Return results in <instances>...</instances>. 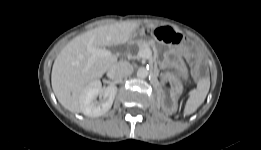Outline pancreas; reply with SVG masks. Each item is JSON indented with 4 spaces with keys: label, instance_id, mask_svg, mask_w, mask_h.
Returning a JSON list of instances; mask_svg holds the SVG:
<instances>
[{
    "label": "pancreas",
    "instance_id": "obj_1",
    "mask_svg": "<svg viewBox=\"0 0 261 150\" xmlns=\"http://www.w3.org/2000/svg\"><path fill=\"white\" fill-rule=\"evenodd\" d=\"M145 49L149 50V55L146 58L148 59L149 64L151 65L154 74L157 75L159 70L157 68L156 58L152 54L150 44L146 41H143L139 44V50L141 51V50H145ZM135 58H139V55H136Z\"/></svg>",
    "mask_w": 261,
    "mask_h": 150
}]
</instances>
